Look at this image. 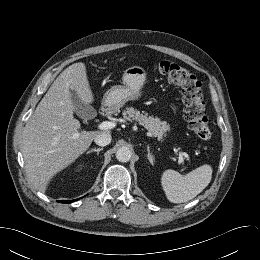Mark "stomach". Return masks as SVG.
<instances>
[{
    "mask_svg": "<svg viewBox=\"0 0 260 260\" xmlns=\"http://www.w3.org/2000/svg\"><path fill=\"white\" fill-rule=\"evenodd\" d=\"M123 85L111 87L103 96L105 106L118 109L130 100L141 96L146 81V70L141 66H131L124 71Z\"/></svg>",
    "mask_w": 260,
    "mask_h": 260,
    "instance_id": "1",
    "label": "stomach"
}]
</instances>
